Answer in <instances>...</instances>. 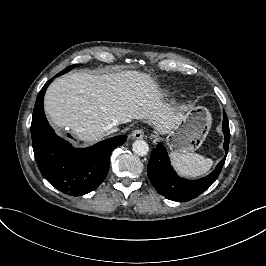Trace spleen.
Instances as JSON below:
<instances>
[{
	"label": "spleen",
	"instance_id": "3e777b00",
	"mask_svg": "<svg viewBox=\"0 0 266 266\" xmlns=\"http://www.w3.org/2000/svg\"><path fill=\"white\" fill-rule=\"evenodd\" d=\"M172 165L179 175L186 177H197L206 174L213 165L210 158H204L196 153L182 154L179 152L170 153Z\"/></svg>",
	"mask_w": 266,
	"mask_h": 266
}]
</instances>
